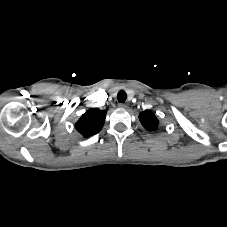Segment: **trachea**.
<instances>
[{
	"mask_svg": "<svg viewBox=\"0 0 227 227\" xmlns=\"http://www.w3.org/2000/svg\"><path fill=\"white\" fill-rule=\"evenodd\" d=\"M117 99H118V102L120 103H124L127 99V94L125 91L121 90L119 91L118 95H117Z\"/></svg>",
	"mask_w": 227,
	"mask_h": 227,
	"instance_id": "1",
	"label": "trachea"
}]
</instances>
